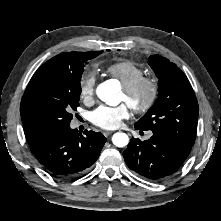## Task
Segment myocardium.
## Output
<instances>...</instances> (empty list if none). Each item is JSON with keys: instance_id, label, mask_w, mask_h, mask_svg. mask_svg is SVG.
Returning a JSON list of instances; mask_svg holds the SVG:
<instances>
[{"instance_id": "myocardium-1", "label": "myocardium", "mask_w": 221, "mask_h": 221, "mask_svg": "<svg viewBox=\"0 0 221 221\" xmlns=\"http://www.w3.org/2000/svg\"><path fill=\"white\" fill-rule=\"evenodd\" d=\"M123 91L131 100L130 107L136 113L143 114L150 111L156 104L160 86L155 77L142 76L132 83L123 85ZM140 94H144L145 97L142 101H137L136 99Z\"/></svg>"}]
</instances>
